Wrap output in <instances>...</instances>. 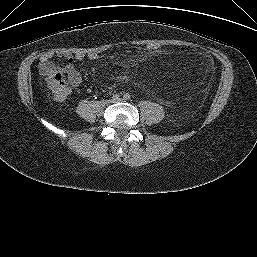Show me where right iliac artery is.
Segmentation results:
<instances>
[{
    "instance_id": "1",
    "label": "right iliac artery",
    "mask_w": 257,
    "mask_h": 257,
    "mask_svg": "<svg viewBox=\"0 0 257 257\" xmlns=\"http://www.w3.org/2000/svg\"><path fill=\"white\" fill-rule=\"evenodd\" d=\"M119 97H120L119 95L115 94V95L112 96V99H113L114 101H116V100L119 99Z\"/></svg>"
}]
</instances>
